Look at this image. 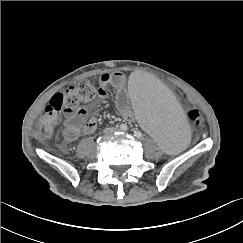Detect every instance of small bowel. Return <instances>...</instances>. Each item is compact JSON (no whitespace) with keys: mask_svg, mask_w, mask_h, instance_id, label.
I'll use <instances>...</instances> for the list:
<instances>
[{"mask_svg":"<svg viewBox=\"0 0 243 243\" xmlns=\"http://www.w3.org/2000/svg\"><path fill=\"white\" fill-rule=\"evenodd\" d=\"M108 86L116 89V107L120 115L127 119L133 120L134 115L130 108V98L126 90V78L120 72L103 74L99 79L98 98L95 102L79 110L66 112L64 122V131L62 139L65 143L77 140L83 134H90L95 130L96 118L89 117L90 108L97 102L103 100L109 94Z\"/></svg>","mask_w":243,"mask_h":243,"instance_id":"1","label":"small bowel"}]
</instances>
